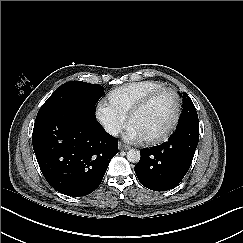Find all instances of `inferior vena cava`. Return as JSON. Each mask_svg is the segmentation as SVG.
<instances>
[{
  "instance_id": "602c4592",
  "label": "inferior vena cava",
  "mask_w": 243,
  "mask_h": 243,
  "mask_svg": "<svg viewBox=\"0 0 243 243\" xmlns=\"http://www.w3.org/2000/svg\"><path fill=\"white\" fill-rule=\"evenodd\" d=\"M105 130L113 136H118L121 128L116 124H108L107 126H105Z\"/></svg>"
}]
</instances>
